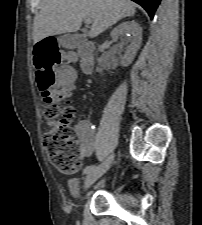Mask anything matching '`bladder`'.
Wrapping results in <instances>:
<instances>
[{"instance_id": "bladder-1", "label": "bladder", "mask_w": 202, "mask_h": 225, "mask_svg": "<svg viewBox=\"0 0 202 225\" xmlns=\"http://www.w3.org/2000/svg\"><path fill=\"white\" fill-rule=\"evenodd\" d=\"M70 188L73 191V195L75 197V201L78 202L82 199V195L78 192V186L81 181L80 178L70 180Z\"/></svg>"}]
</instances>
